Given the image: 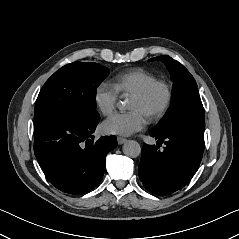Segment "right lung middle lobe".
<instances>
[{"label":"right lung middle lobe","mask_w":239,"mask_h":239,"mask_svg":"<svg viewBox=\"0 0 239 239\" xmlns=\"http://www.w3.org/2000/svg\"><path fill=\"white\" fill-rule=\"evenodd\" d=\"M108 74V68L94 62H74L60 68L46 81L38 95L35 127L61 115L99 119L96 88Z\"/></svg>","instance_id":"right-lung-middle-lobe-1"}]
</instances>
